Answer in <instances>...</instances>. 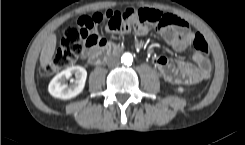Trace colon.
<instances>
[{"instance_id":"colon-1","label":"colon","mask_w":245,"mask_h":145,"mask_svg":"<svg viewBox=\"0 0 245 145\" xmlns=\"http://www.w3.org/2000/svg\"><path fill=\"white\" fill-rule=\"evenodd\" d=\"M177 21V18L169 14L147 8L107 9L92 15H81L66 26L54 57L42 68V73L51 75L67 68L83 52L84 46L97 47L99 37L93 32V27L98 24L105 22L111 29L128 31L150 26L172 27L176 25ZM192 44L200 54H208V44L201 34L194 36ZM202 74L204 77H208L209 68L207 66L204 67Z\"/></svg>"}]
</instances>
